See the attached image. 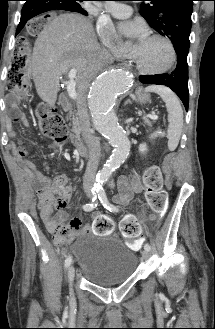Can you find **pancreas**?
<instances>
[{
    "instance_id": "cf45deb5",
    "label": "pancreas",
    "mask_w": 215,
    "mask_h": 329,
    "mask_svg": "<svg viewBox=\"0 0 215 329\" xmlns=\"http://www.w3.org/2000/svg\"><path fill=\"white\" fill-rule=\"evenodd\" d=\"M69 117H71L72 120V129L71 131L75 134V135H79L81 132V124H80V120L77 116V114L75 112H71L69 114ZM145 124H147L148 126H151L152 123L150 120H145L144 121Z\"/></svg>"
}]
</instances>
